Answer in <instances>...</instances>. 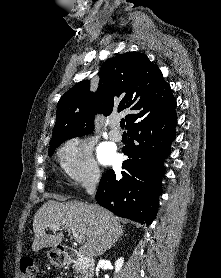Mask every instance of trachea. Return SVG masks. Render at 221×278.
Returning <instances> with one entry per match:
<instances>
[{
    "label": "trachea",
    "mask_w": 221,
    "mask_h": 278,
    "mask_svg": "<svg viewBox=\"0 0 221 278\" xmlns=\"http://www.w3.org/2000/svg\"><path fill=\"white\" fill-rule=\"evenodd\" d=\"M120 127L123 129L125 127V121L124 120H121L120 121Z\"/></svg>",
    "instance_id": "1"
}]
</instances>
